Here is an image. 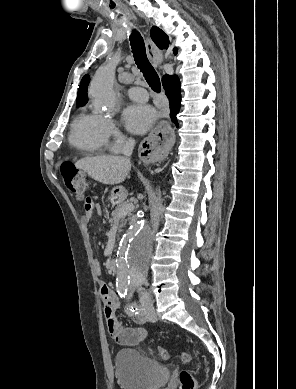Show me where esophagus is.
<instances>
[{"instance_id": "1", "label": "esophagus", "mask_w": 296, "mask_h": 389, "mask_svg": "<svg viewBox=\"0 0 296 389\" xmlns=\"http://www.w3.org/2000/svg\"><path fill=\"white\" fill-rule=\"evenodd\" d=\"M145 45L150 62L154 67H158L162 61V55L149 36L145 39ZM172 130L170 122H157L152 131L142 136L140 151L146 165L157 163L160 158L168 156L177 140L176 132Z\"/></svg>"}]
</instances>
